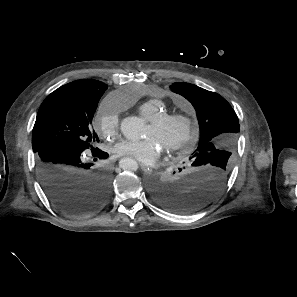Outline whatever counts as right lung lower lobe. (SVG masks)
<instances>
[{"label":"right lung lower lobe","instance_id":"98d812e1","mask_svg":"<svg viewBox=\"0 0 297 297\" xmlns=\"http://www.w3.org/2000/svg\"><path fill=\"white\" fill-rule=\"evenodd\" d=\"M81 153L62 145L36 153L37 174L44 192L59 210L70 215L93 213L110 195V175L103 167L82 162ZM93 156L106 159L108 154L97 149Z\"/></svg>","mask_w":297,"mask_h":297}]
</instances>
